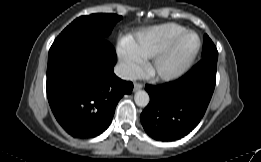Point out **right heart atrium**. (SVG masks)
I'll return each instance as SVG.
<instances>
[{"instance_id":"obj_1","label":"right heart atrium","mask_w":261,"mask_h":162,"mask_svg":"<svg viewBox=\"0 0 261 162\" xmlns=\"http://www.w3.org/2000/svg\"><path fill=\"white\" fill-rule=\"evenodd\" d=\"M119 59L124 73L129 77L137 75L143 66V59L130 49L128 40L120 44Z\"/></svg>"}]
</instances>
